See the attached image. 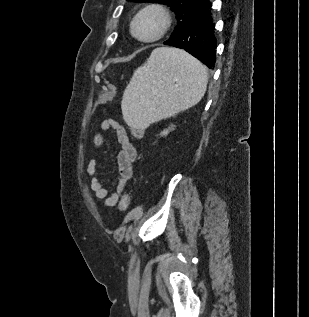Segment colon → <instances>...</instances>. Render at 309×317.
Returning a JSON list of instances; mask_svg holds the SVG:
<instances>
[{
  "label": "colon",
  "mask_w": 309,
  "mask_h": 317,
  "mask_svg": "<svg viewBox=\"0 0 309 317\" xmlns=\"http://www.w3.org/2000/svg\"><path fill=\"white\" fill-rule=\"evenodd\" d=\"M133 134L135 137H141L143 134V131L141 129L136 128L133 130ZM96 142L97 143L101 142L100 137L96 138ZM129 206H130V196L127 192H125L121 197L120 207L122 210L126 211L129 208Z\"/></svg>",
  "instance_id": "obj_1"
}]
</instances>
